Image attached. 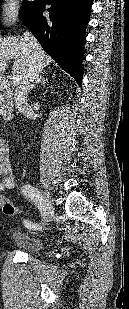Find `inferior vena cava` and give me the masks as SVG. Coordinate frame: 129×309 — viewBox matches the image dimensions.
Masks as SVG:
<instances>
[{"label":"inferior vena cava","mask_w":129,"mask_h":309,"mask_svg":"<svg viewBox=\"0 0 129 309\" xmlns=\"http://www.w3.org/2000/svg\"><path fill=\"white\" fill-rule=\"evenodd\" d=\"M23 40L28 53L30 54V66L23 77L19 90L17 92V105L20 112L26 116H31V108L28 104V92L31 89L32 83L40 75L42 71L40 53L41 47L33 34L30 31L23 33Z\"/></svg>","instance_id":"obj_1"}]
</instances>
